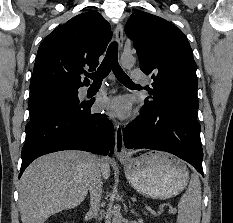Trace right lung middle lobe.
<instances>
[{
    "mask_svg": "<svg viewBox=\"0 0 233 223\" xmlns=\"http://www.w3.org/2000/svg\"><path fill=\"white\" fill-rule=\"evenodd\" d=\"M77 88L48 89L32 94L28 104L31 118L48 112L64 110L66 100L77 95Z\"/></svg>",
    "mask_w": 233,
    "mask_h": 223,
    "instance_id": "dd1d6c3e",
    "label": "right lung middle lobe"
}]
</instances>
